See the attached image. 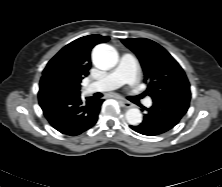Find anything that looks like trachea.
I'll return each instance as SVG.
<instances>
[{
  "instance_id": "obj_1",
  "label": "trachea",
  "mask_w": 222,
  "mask_h": 187,
  "mask_svg": "<svg viewBox=\"0 0 222 187\" xmlns=\"http://www.w3.org/2000/svg\"><path fill=\"white\" fill-rule=\"evenodd\" d=\"M142 97H143V95H139V96L133 97L132 99H133L134 101H138V100L141 99Z\"/></svg>"
}]
</instances>
